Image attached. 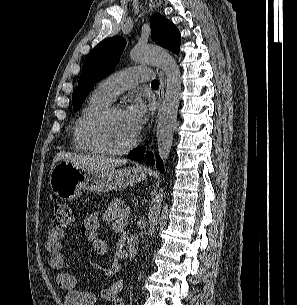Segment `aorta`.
Here are the masks:
<instances>
[{
	"instance_id": "1",
	"label": "aorta",
	"mask_w": 297,
	"mask_h": 305,
	"mask_svg": "<svg viewBox=\"0 0 297 305\" xmlns=\"http://www.w3.org/2000/svg\"><path fill=\"white\" fill-rule=\"evenodd\" d=\"M131 58L140 63L158 66L166 75V91L157 122L156 136L158 154L164 165L167 163L173 142L177 111L181 96V73L174 58L165 50L154 46L136 45L130 52ZM162 189L154 199L148 215V236H153L159 220Z\"/></svg>"
}]
</instances>
